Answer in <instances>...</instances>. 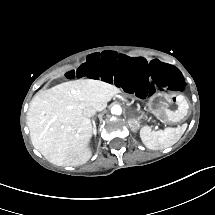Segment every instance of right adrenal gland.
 Segmentation results:
<instances>
[{
    "instance_id": "1",
    "label": "right adrenal gland",
    "mask_w": 215,
    "mask_h": 215,
    "mask_svg": "<svg viewBox=\"0 0 215 215\" xmlns=\"http://www.w3.org/2000/svg\"><path fill=\"white\" fill-rule=\"evenodd\" d=\"M91 121H92V124H93V126H94V128H93V130H92V133L96 136V135H97L96 124H95V122H94L93 119H92Z\"/></svg>"
}]
</instances>
